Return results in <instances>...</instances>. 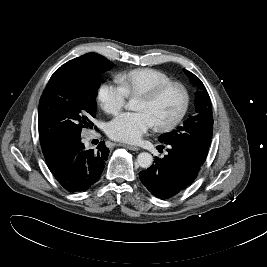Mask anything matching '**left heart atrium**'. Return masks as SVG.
Returning a JSON list of instances; mask_svg holds the SVG:
<instances>
[{
  "label": "left heart atrium",
  "mask_w": 267,
  "mask_h": 267,
  "mask_svg": "<svg viewBox=\"0 0 267 267\" xmlns=\"http://www.w3.org/2000/svg\"><path fill=\"white\" fill-rule=\"evenodd\" d=\"M151 127L152 124L146 114L126 112L108 123L107 133L114 140L137 143Z\"/></svg>",
  "instance_id": "obj_1"
}]
</instances>
